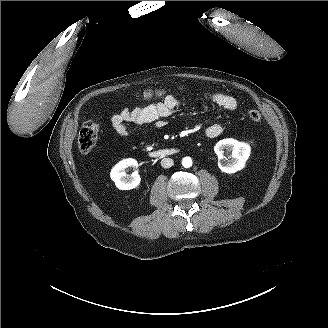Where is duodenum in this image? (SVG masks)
<instances>
[{"label": "duodenum", "mask_w": 328, "mask_h": 328, "mask_svg": "<svg viewBox=\"0 0 328 328\" xmlns=\"http://www.w3.org/2000/svg\"><path fill=\"white\" fill-rule=\"evenodd\" d=\"M176 152L174 149H163V150H156L151 152V155L154 157H164L168 155H172Z\"/></svg>", "instance_id": "duodenum-1"}]
</instances>
